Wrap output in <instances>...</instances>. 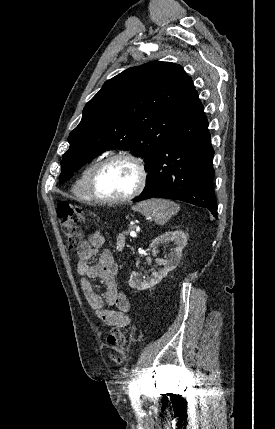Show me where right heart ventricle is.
<instances>
[{"label":"right heart ventricle","instance_id":"e07e8e85","mask_svg":"<svg viewBox=\"0 0 275 429\" xmlns=\"http://www.w3.org/2000/svg\"><path fill=\"white\" fill-rule=\"evenodd\" d=\"M99 162V159L93 160L88 163L79 173L75 182L72 186L73 194L81 201L89 202L91 201V197L88 193V179L91 171Z\"/></svg>","mask_w":275,"mask_h":429}]
</instances>
